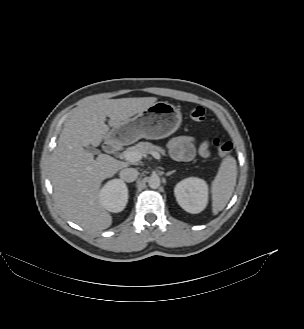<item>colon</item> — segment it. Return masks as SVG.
I'll return each mask as SVG.
<instances>
[{
  "mask_svg": "<svg viewBox=\"0 0 304 329\" xmlns=\"http://www.w3.org/2000/svg\"><path fill=\"white\" fill-rule=\"evenodd\" d=\"M189 116L194 121L202 122L205 120L206 112L203 107L196 106L190 110ZM213 144H214L215 148L217 149L218 153L222 157H226V156L230 155V153L232 151V144L229 141L221 139V138H215L213 141Z\"/></svg>",
  "mask_w": 304,
  "mask_h": 329,
  "instance_id": "obj_1",
  "label": "colon"
}]
</instances>
